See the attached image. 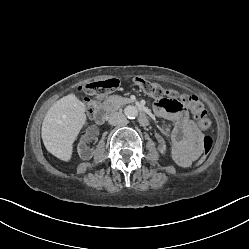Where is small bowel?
I'll list each match as a JSON object with an SVG mask.
<instances>
[{"instance_id": "small-bowel-1", "label": "small bowel", "mask_w": 249, "mask_h": 249, "mask_svg": "<svg viewBox=\"0 0 249 249\" xmlns=\"http://www.w3.org/2000/svg\"><path fill=\"white\" fill-rule=\"evenodd\" d=\"M169 101L168 110L162 100H158L154 105V112L163 118L174 122L171 131H163L160 139L168 137L173 150L175 161L182 167H187L197 157L203 141V134L189 117L187 108L181 101L172 94Z\"/></svg>"}]
</instances>
